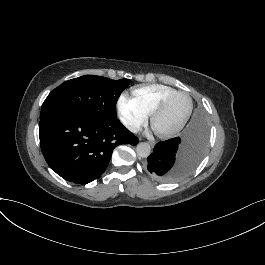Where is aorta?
<instances>
[{"label": "aorta", "mask_w": 265, "mask_h": 265, "mask_svg": "<svg viewBox=\"0 0 265 265\" xmlns=\"http://www.w3.org/2000/svg\"><path fill=\"white\" fill-rule=\"evenodd\" d=\"M137 155L141 158H146L151 153V147L148 143L141 142L136 146Z\"/></svg>", "instance_id": "762f6f07"}]
</instances>
